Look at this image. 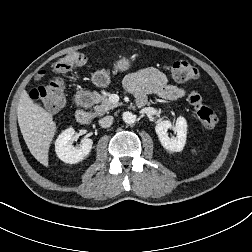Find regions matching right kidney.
<instances>
[{"instance_id": "right-kidney-1", "label": "right kidney", "mask_w": 252, "mask_h": 252, "mask_svg": "<svg viewBox=\"0 0 252 252\" xmlns=\"http://www.w3.org/2000/svg\"><path fill=\"white\" fill-rule=\"evenodd\" d=\"M74 129L68 128L63 131L55 141V151L60 160L69 164L82 161L91 151L93 140L82 138L78 148L73 146Z\"/></svg>"}]
</instances>
